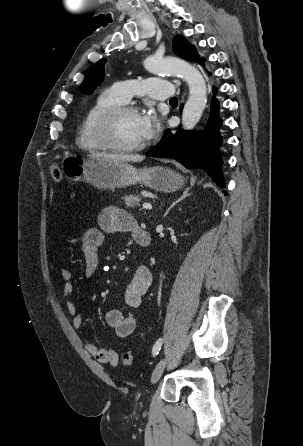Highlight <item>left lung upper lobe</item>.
<instances>
[{
    "instance_id": "1",
    "label": "left lung upper lobe",
    "mask_w": 303,
    "mask_h": 446,
    "mask_svg": "<svg viewBox=\"0 0 303 446\" xmlns=\"http://www.w3.org/2000/svg\"><path fill=\"white\" fill-rule=\"evenodd\" d=\"M173 51L181 58L189 61L203 63V59H199L196 49L183 36L177 35L173 39ZM104 60L101 59L96 62L87 72L81 86L80 91L83 93H90L94 91L104 79Z\"/></svg>"
}]
</instances>
